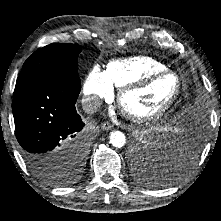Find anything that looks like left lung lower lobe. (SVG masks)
<instances>
[{
  "mask_svg": "<svg viewBox=\"0 0 221 221\" xmlns=\"http://www.w3.org/2000/svg\"><path fill=\"white\" fill-rule=\"evenodd\" d=\"M175 126L174 132L164 140L153 138L149 147L135 145L132 149L136 176L148 186L172 184L188 172L196 160L203 123L181 117L175 121Z\"/></svg>",
  "mask_w": 221,
  "mask_h": 221,
  "instance_id": "obj_1",
  "label": "left lung lower lobe"
}]
</instances>
